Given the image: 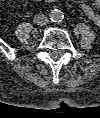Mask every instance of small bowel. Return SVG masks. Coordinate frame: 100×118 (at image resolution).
Here are the masks:
<instances>
[{
  "label": "small bowel",
  "mask_w": 100,
  "mask_h": 118,
  "mask_svg": "<svg viewBox=\"0 0 100 118\" xmlns=\"http://www.w3.org/2000/svg\"><path fill=\"white\" fill-rule=\"evenodd\" d=\"M34 1H41V0H34ZM49 2H55L57 0H48ZM96 5L97 7L100 8V0H96ZM83 12L85 13V15L91 20L93 21L95 24H100V14L98 12H96L91 5H89L88 3H83L81 6Z\"/></svg>",
  "instance_id": "obj_1"
}]
</instances>
